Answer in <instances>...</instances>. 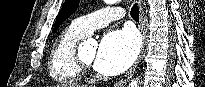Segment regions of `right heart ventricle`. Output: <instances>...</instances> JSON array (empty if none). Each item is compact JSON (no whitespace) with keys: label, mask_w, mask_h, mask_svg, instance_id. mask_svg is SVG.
<instances>
[{"label":"right heart ventricle","mask_w":205,"mask_h":87,"mask_svg":"<svg viewBox=\"0 0 205 87\" xmlns=\"http://www.w3.org/2000/svg\"><path fill=\"white\" fill-rule=\"evenodd\" d=\"M84 37L85 35L70 26L56 38L49 59V74L56 83L73 84L81 79L82 73L75 60V49Z\"/></svg>","instance_id":"obj_1"}]
</instances>
